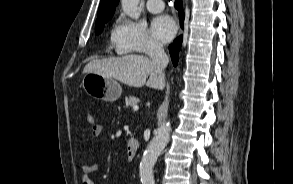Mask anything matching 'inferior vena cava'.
<instances>
[{"instance_id": "inferior-vena-cava-1", "label": "inferior vena cava", "mask_w": 293, "mask_h": 184, "mask_svg": "<svg viewBox=\"0 0 293 184\" xmlns=\"http://www.w3.org/2000/svg\"><path fill=\"white\" fill-rule=\"evenodd\" d=\"M148 55L151 63L154 65L156 72L164 77V69L169 63L167 54L160 43H152L148 49Z\"/></svg>"}]
</instances>
